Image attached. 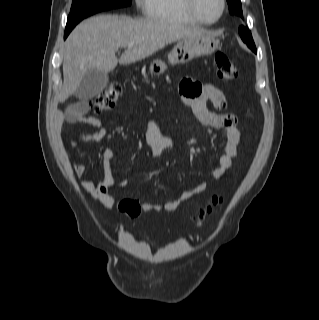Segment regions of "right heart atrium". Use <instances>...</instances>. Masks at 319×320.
Instances as JSON below:
<instances>
[{
	"mask_svg": "<svg viewBox=\"0 0 319 320\" xmlns=\"http://www.w3.org/2000/svg\"><path fill=\"white\" fill-rule=\"evenodd\" d=\"M147 0H135L136 6L142 8L146 5Z\"/></svg>",
	"mask_w": 319,
	"mask_h": 320,
	"instance_id": "obj_1",
	"label": "right heart atrium"
}]
</instances>
